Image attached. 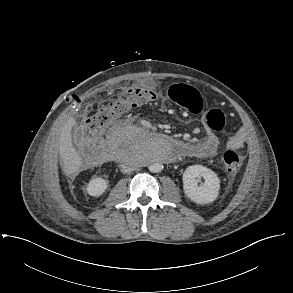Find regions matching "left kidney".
Wrapping results in <instances>:
<instances>
[{
	"mask_svg": "<svg viewBox=\"0 0 293 293\" xmlns=\"http://www.w3.org/2000/svg\"><path fill=\"white\" fill-rule=\"evenodd\" d=\"M201 178L204 181L199 185ZM183 189L193 202L209 204L215 201L219 194L220 180L211 169L202 165H192L183 173Z\"/></svg>",
	"mask_w": 293,
	"mask_h": 293,
	"instance_id": "left-kidney-1",
	"label": "left kidney"
}]
</instances>
